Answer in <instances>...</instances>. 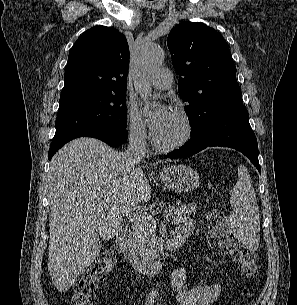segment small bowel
<instances>
[{
    "instance_id": "c3829d8e",
    "label": "small bowel",
    "mask_w": 297,
    "mask_h": 305,
    "mask_svg": "<svg viewBox=\"0 0 297 305\" xmlns=\"http://www.w3.org/2000/svg\"><path fill=\"white\" fill-rule=\"evenodd\" d=\"M192 221L185 222L179 229L192 232ZM170 285L177 295L179 305H212L220 295L219 283L193 285L188 271L184 267L175 269L170 276Z\"/></svg>"
}]
</instances>
